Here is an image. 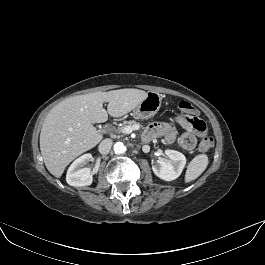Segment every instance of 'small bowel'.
<instances>
[{
  "label": "small bowel",
  "mask_w": 265,
  "mask_h": 265,
  "mask_svg": "<svg viewBox=\"0 0 265 265\" xmlns=\"http://www.w3.org/2000/svg\"><path fill=\"white\" fill-rule=\"evenodd\" d=\"M174 121L185 129L183 134L178 136L172 123H154L147 128L145 140L163 137L167 144L177 142L180 147L190 151L196 146L197 137H203L206 134V124L196 116L178 115Z\"/></svg>",
  "instance_id": "c3829d8e"
}]
</instances>
